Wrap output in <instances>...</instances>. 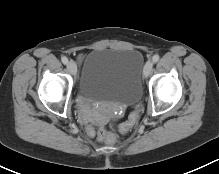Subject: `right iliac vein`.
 <instances>
[{
	"instance_id": "63e3f726",
	"label": "right iliac vein",
	"mask_w": 219,
	"mask_h": 174,
	"mask_svg": "<svg viewBox=\"0 0 219 174\" xmlns=\"http://www.w3.org/2000/svg\"><path fill=\"white\" fill-rule=\"evenodd\" d=\"M67 69H68V71L71 74L75 75L77 73V65H76V63L73 62V61L68 62L67 63Z\"/></svg>"
}]
</instances>
